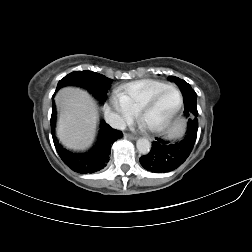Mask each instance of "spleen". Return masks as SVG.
I'll list each match as a JSON object with an SVG mask.
<instances>
[{"instance_id":"spleen-1","label":"spleen","mask_w":252,"mask_h":252,"mask_svg":"<svg viewBox=\"0 0 252 252\" xmlns=\"http://www.w3.org/2000/svg\"><path fill=\"white\" fill-rule=\"evenodd\" d=\"M182 130H183L182 124H177V125L174 127V129H173V134H174L175 136H179V135L181 134Z\"/></svg>"}]
</instances>
